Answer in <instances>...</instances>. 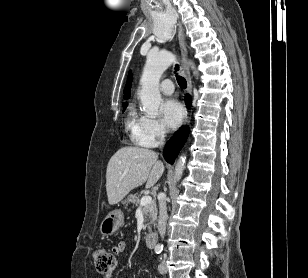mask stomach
Returning <instances> with one entry per match:
<instances>
[{
	"label": "stomach",
	"mask_w": 308,
	"mask_h": 278,
	"mask_svg": "<svg viewBox=\"0 0 308 278\" xmlns=\"http://www.w3.org/2000/svg\"><path fill=\"white\" fill-rule=\"evenodd\" d=\"M124 216L121 210L111 211L101 222L100 233L103 236H110L115 233L123 224Z\"/></svg>",
	"instance_id": "1"
}]
</instances>
